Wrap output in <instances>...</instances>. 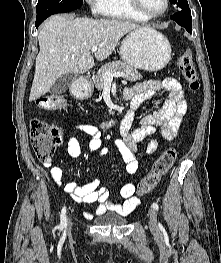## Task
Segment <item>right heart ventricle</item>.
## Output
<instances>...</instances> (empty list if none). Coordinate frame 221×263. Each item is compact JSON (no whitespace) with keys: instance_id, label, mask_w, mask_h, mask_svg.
I'll return each instance as SVG.
<instances>
[{"instance_id":"1","label":"right heart ventricle","mask_w":221,"mask_h":263,"mask_svg":"<svg viewBox=\"0 0 221 263\" xmlns=\"http://www.w3.org/2000/svg\"><path fill=\"white\" fill-rule=\"evenodd\" d=\"M102 14L113 19L131 21L145 20L133 9L129 0H103Z\"/></svg>"}]
</instances>
